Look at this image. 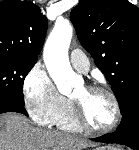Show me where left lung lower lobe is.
<instances>
[{
  "instance_id": "obj_1",
  "label": "left lung lower lobe",
  "mask_w": 139,
  "mask_h": 150,
  "mask_svg": "<svg viewBox=\"0 0 139 150\" xmlns=\"http://www.w3.org/2000/svg\"><path fill=\"white\" fill-rule=\"evenodd\" d=\"M123 118L118 129L110 134L93 138V141L117 143L139 150V94L134 95L122 110Z\"/></svg>"
}]
</instances>
